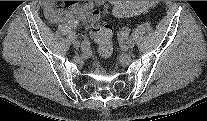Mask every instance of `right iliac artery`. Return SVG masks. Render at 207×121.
<instances>
[{
	"label": "right iliac artery",
	"instance_id": "1",
	"mask_svg": "<svg viewBox=\"0 0 207 121\" xmlns=\"http://www.w3.org/2000/svg\"><path fill=\"white\" fill-rule=\"evenodd\" d=\"M89 41H88V39H85L84 41H83V43H82V47H83V49L85 50L88 46H89Z\"/></svg>",
	"mask_w": 207,
	"mask_h": 121
}]
</instances>
